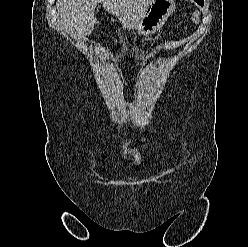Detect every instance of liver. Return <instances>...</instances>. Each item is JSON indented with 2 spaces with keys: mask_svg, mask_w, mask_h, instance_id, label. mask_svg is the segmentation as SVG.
<instances>
[{
  "mask_svg": "<svg viewBox=\"0 0 248 247\" xmlns=\"http://www.w3.org/2000/svg\"><path fill=\"white\" fill-rule=\"evenodd\" d=\"M152 0H57L60 22L71 35L90 34L97 23L96 6L102 2L104 9L118 17L123 28H134L141 19L145 6Z\"/></svg>",
  "mask_w": 248,
  "mask_h": 247,
  "instance_id": "6515ba94",
  "label": "liver"
}]
</instances>
